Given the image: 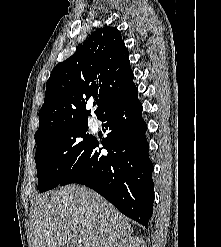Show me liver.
I'll return each instance as SVG.
<instances>
[{
	"label": "liver",
	"instance_id": "6515ba94",
	"mask_svg": "<svg viewBox=\"0 0 221 247\" xmlns=\"http://www.w3.org/2000/svg\"><path fill=\"white\" fill-rule=\"evenodd\" d=\"M30 226L32 247H111L133 233L111 203L78 185L38 197Z\"/></svg>",
	"mask_w": 221,
	"mask_h": 247
}]
</instances>
